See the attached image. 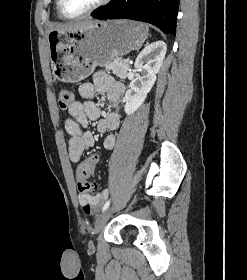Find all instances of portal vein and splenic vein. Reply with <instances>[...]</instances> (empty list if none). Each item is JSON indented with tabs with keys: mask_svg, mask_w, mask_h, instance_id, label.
Here are the masks:
<instances>
[{
	"mask_svg": "<svg viewBox=\"0 0 247 280\" xmlns=\"http://www.w3.org/2000/svg\"><path fill=\"white\" fill-rule=\"evenodd\" d=\"M125 61H126V62H128V61H129V59L127 58V59H125Z\"/></svg>",
	"mask_w": 247,
	"mask_h": 280,
	"instance_id": "portal-vein-and-splenic-vein-1",
	"label": "portal vein and splenic vein"
}]
</instances>
